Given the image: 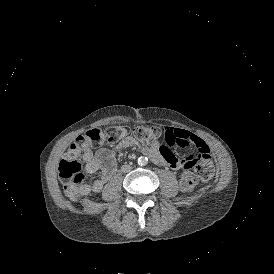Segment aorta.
Wrapping results in <instances>:
<instances>
[{
	"mask_svg": "<svg viewBox=\"0 0 274 274\" xmlns=\"http://www.w3.org/2000/svg\"><path fill=\"white\" fill-rule=\"evenodd\" d=\"M147 163H148V159L146 157L141 156L138 158V164L140 166H145L147 165Z\"/></svg>",
	"mask_w": 274,
	"mask_h": 274,
	"instance_id": "aorta-1",
	"label": "aorta"
}]
</instances>
